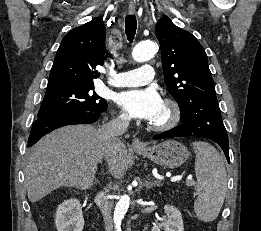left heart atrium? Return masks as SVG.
Wrapping results in <instances>:
<instances>
[{
    "mask_svg": "<svg viewBox=\"0 0 261 231\" xmlns=\"http://www.w3.org/2000/svg\"><path fill=\"white\" fill-rule=\"evenodd\" d=\"M118 104L131 116L152 121L162 107V99L153 88L134 89L120 93Z\"/></svg>",
    "mask_w": 261,
    "mask_h": 231,
    "instance_id": "left-heart-atrium-1",
    "label": "left heart atrium"
}]
</instances>
